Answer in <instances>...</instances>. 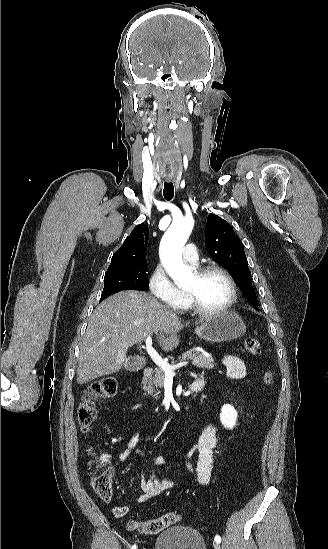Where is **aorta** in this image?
Here are the masks:
<instances>
[{"label": "aorta", "instance_id": "1", "mask_svg": "<svg viewBox=\"0 0 328 549\" xmlns=\"http://www.w3.org/2000/svg\"><path fill=\"white\" fill-rule=\"evenodd\" d=\"M194 226L192 217L174 220L165 232L160 245L161 262L178 286L188 284L193 278L191 269L182 260V249Z\"/></svg>", "mask_w": 328, "mask_h": 549}]
</instances>
